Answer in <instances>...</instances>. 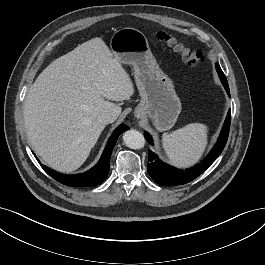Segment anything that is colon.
<instances>
[{
	"label": "colon",
	"instance_id": "colon-1",
	"mask_svg": "<svg viewBox=\"0 0 265 265\" xmlns=\"http://www.w3.org/2000/svg\"><path fill=\"white\" fill-rule=\"evenodd\" d=\"M157 39L171 47L175 52L180 54L182 60L191 68L199 69L205 63V57L197 49L187 46L181 42L176 36L160 32L157 35Z\"/></svg>",
	"mask_w": 265,
	"mask_h": 265
}]
</instances>
